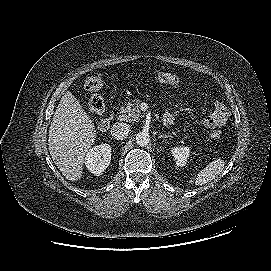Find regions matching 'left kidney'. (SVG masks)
<instances>
[{"instance_id": "left-kidney-1", "label": "left kidney", "mask_w": 271, "mask_h": 271, "mask_svg": "<svg viewBox=\"0 0 271 271\" xmlns=\"http://www.w3.org/2000/svg\"><path fill=\"white\" fill-rule=\"evenodd\" d=\"M172 156L176 159V164L178 166H184L190 155L189 147H173L171 149Z\"/></svg>"}]
</instances>
